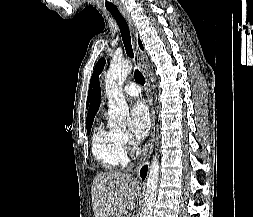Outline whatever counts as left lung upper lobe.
Listing matches in <instances>:
<instances>
[{"label": "left lung upper lobe", "instance_id": "1", "mask_svg": "<svg viewBox=\"0 0 253 217\" xmlns=\"http://www.w3.org/2000/svg\"><path fill=\"white\" fill-rule=\"evenodd\" d=\"M104 65H105V59L101 58L95 66V69L90 81V87L92 86V83L94 82L95 78L102 72Z\"/></svg>", "mask_w": 253, "mask_h": 217}]
</instances>
